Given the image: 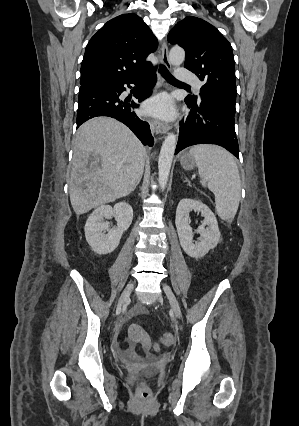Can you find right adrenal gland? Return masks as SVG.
Returning <instances> with one entry per match:
<instances>
[{
    "label": "right adrenal gland",
    "instance_id": "2a0ac1e0",
    "mask_svg": "<svg viewBox=\"0 0 299 426\" xmlns=\"http://www.w3.org/2000/svg\"><path fill=\"white\" fill-rule=\"evenodd\" d=\"M140 181H141V178H139L138 180H137V183H136V185H135V188L140 184ZM135 188H134V190H135Z\"/></svg>",
    "mask_w": 299,
    "mask_h": 426
}]
</instances>
